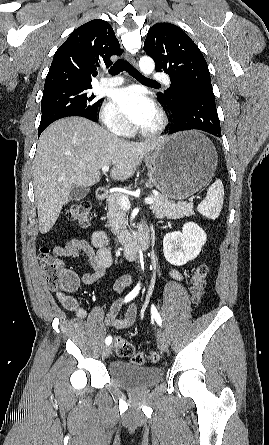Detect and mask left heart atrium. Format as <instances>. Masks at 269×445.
Masks as SVG:
<instances>
[{"label": "left heart atrium", "instance_id": "left-heart-atrium-1", "mask_svg": "<svg viewBox=\"0 0 269 445\" xmlns=\"http://www.w3.org/2000/svg\"><path fill=\"white\" fill-rule=\"evenodd\" d=\"M113 100L123 115L138 128L146 127L157 116L155 104L137 87L116 90Z\"/></svg>", "mask_w": 269, "mask_h": 445}]
</instances>
